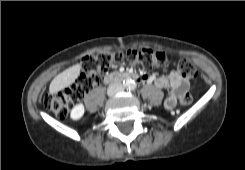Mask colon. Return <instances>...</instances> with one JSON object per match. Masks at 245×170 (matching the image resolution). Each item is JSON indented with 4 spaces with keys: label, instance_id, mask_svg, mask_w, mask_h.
I'll use <instances>...</instances> for the list:
<instances>
[{
    "label": "colon",
    "instance_id": "obj_1",
    "mask_svg": "<svg viewBox=\"0 0 245 170\" xmlns=\"http://www.w3.org/2000/svg\"><path fill=\"white\" fill-rule=\"evenodd\" d=\"M124 59L130 65L144 69L162 67L167 63V57L163 52L148 49L130 48L126 53L111 52L88 56L83 60L82 72L76 82L68 88L46 93L43 97L44 106L57 115L66 114L76 101L101 82L103 71L121 64ZM178 72L186 78L197 76L196 68L187 59L178 63ZM191 101L192 97L189 94H185L180 99L182 105H189Z\"/></svg>",
    "mask_w": 245,
    "mask_h": 170
}]
</instances>
